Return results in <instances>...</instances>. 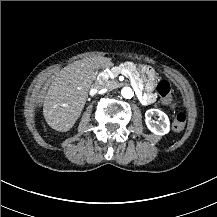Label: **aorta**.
<instances>
[{
	"label": "aorta",
	"instance_id": "obj_1",
	"mask_svg": "<svg viewBox=\"0 0 217 217\" xmlns=\"http://www.w3.org/2000/svg\"><path fill=\"white\" fill-rule=\"evenodd\" d=\"M121 95L125 99H131L133 97V91L130 87H123L121 89Z\"/></svg>",
	"mask_w": 217,
	"mask_h": 217
}]
</instances>
